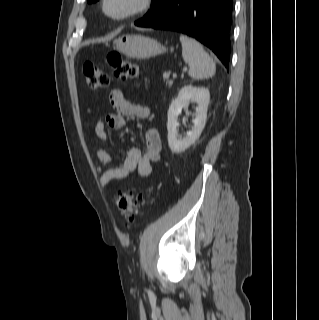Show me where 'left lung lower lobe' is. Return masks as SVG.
Listing matches in <instances>:
<instances>
[{"instance_id": "1", "label": "left lung lower lobe", "mask_w": 319, "mask_h": 320, "mask_svg": "<svg viewBox=\"0 0 319 320\" xmlns=\"http://www.w3.org/2000/svg\"><path fill=\"white\" fill-rule=\"evenodd\" d=\"M233 0H163L136 26L178 31L210 48L228 68Z\"/></svg>"}]
</instances>
